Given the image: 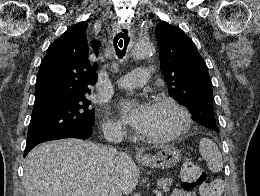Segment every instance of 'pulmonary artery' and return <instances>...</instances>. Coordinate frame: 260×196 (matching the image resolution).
Here are the masks:
<instances>
[{
    "mask_svg": "<svg viewBox=\"0 0 260 196\" xmlns=\"http://www.w3.org/2000/svg\"><path fill=\"white\" fill-rule=\"evenodd\" d=\"M150 72L149 69H133L132 72H127V76H122V79H115V84H149ZM123 90H138V85H123Z\"/></svg>",
    "mask_w": 260,
    "mask_h": 196,
    "instance_id": "1",
    "label": "pulmonary artery"
}]
</instances>
